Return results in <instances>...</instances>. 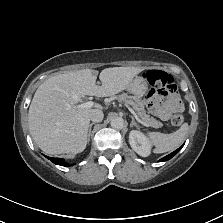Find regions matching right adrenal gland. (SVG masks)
<instances>
[{
  "instance_id": "right-adrenal-gland-1",
  "label": "right adrenal gland",
  "mask_w": 223,
  "mask_h": 223,
  "mask_svg": "<svg viewBox=\"0 0 223 223\" xmlns=\"http://www.w3.org/2000/svg\"><path fill=\"white\" fill-rule=\"evenodd\" d=\"M96 124L95 122H92L90 125H89V132H88V136H87V141L89 142L90 141V135H91V131H92V126Z\"/></svg>"
}]
</instances>
